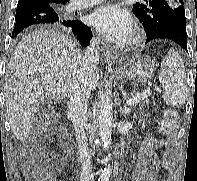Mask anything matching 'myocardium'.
Wrapping results in <instances>:
<instances>
[{
	"label": "myocardium",
	"instance_id": "f54148a6",
	"mask_svg": "<svg viewBox=\"0 0 197 181\" xmlns=\"http://www.w3.org/2000/svg\"><path fill=\"white\" fill-rule=\"evenodd\" d=\"M144 35L139 27H134L128 37L122 42L124 48H137L142 44Z\"/></svg>",
	"mask_w": 197,
	"mask_h": 181
}]
</instances>
